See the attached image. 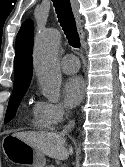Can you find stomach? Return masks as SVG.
<instances>
[{"label": "stomach", "mask_w": 125, "mask_h": 167, "mask_svg": "<svg viewBox=\"0 0 125 167\" xmlns=\"http://www.w3.org/2000/svg\"><path fill=\"white\" fill-rule=\"evenodd\" d=\"M3 151L12 162L27 164L29 167H45L44 154L15 136L5 138Z\"/></svg>", "instance_id": "stomach-1"}]
</instances>
